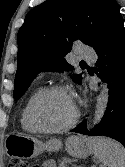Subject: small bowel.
I'll return each mask as SVG.
<instances>
[{
    "mask_svg": "<svg viewBox=\"0 0 125 167\" xmlns=\"http://www.w3.org/2000/svg\"><path fill=\"white\" fill-rule=\"evenodd\" d=\"M41 167H56V166L53 161H47Z\"/></svg>",
    "mask_w": 125,
    "mask_h": 167,
    "instance_id": "1",
    "label": "small bowel"
}]
</instances>
